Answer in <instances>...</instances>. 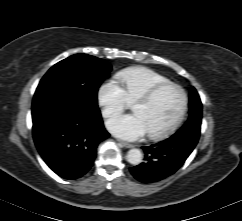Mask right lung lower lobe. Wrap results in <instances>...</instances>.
<instances>
[{"mask_svg": "<svg viewBox=\"0 0 242 221\" xmlns=\"http://www.w3.org/2000/svg\"><path fill=\"white\" fill-rule=\"evenodd\" d=\"M33 138L46 164L65 179H77L93 166L99 143L109 137L99 109L75 108L69 100L32 109Z\"/></svg>", "mask_w": 242, "mask_h": 221, "instance_id": "right-lung-lower-lobe-1", "label": "right lung lower lobe"}]
</instances>
